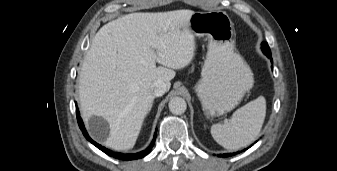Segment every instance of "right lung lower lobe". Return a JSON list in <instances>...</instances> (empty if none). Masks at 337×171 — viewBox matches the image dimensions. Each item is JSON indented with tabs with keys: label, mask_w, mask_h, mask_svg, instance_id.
<instances>
[{
	"label": "right lung lower lobe",
	"mask_w": 337,
	"mask_h": 171,
	"mask_svg": "<svg viewBox=\"0 0 337 171\" xmlns=\"http://www.w3.org/2000/svg\"><path fill=\"white\" fill-rule=\"evenodd\" d=\"M76 114H77V120H78L79 127L82 130L83 135L86 137V139L88 141H90L93 145H95L97 148H99L101 151H103L107 155H109L111 157H114L116 159L128 161V160L143 158L144 156H146L150 152L151 148L153 147V145L155 143L156 133H155L154 138H153V140L151 142V145L146 150H144V151H141V152H138V153H132V154H123V153L113 152V151L108 150L105 147L101 146L100 144H97L95 141H93L90 138V136L88 135V133L86 132V130L84 128L82 119H81V117L79 115L78 108H76Z\"/></svg>",
	"instance_id": "right-lung-lower-lobe-1"
}]
</instances>
